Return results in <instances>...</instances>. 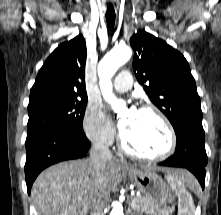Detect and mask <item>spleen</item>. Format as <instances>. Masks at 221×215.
Returning <instances> with one entry per match:
<instances>
[{
	"label": "spleen",
	"mask_w": 221,
	"mask_h": 215,
	"mask_svg": "<svg viewBox=\"0 0 221 215\" xmlns=\"http://www.w3.org/2000/svg\"><path fill=\"white\" fill-rule=\"evenodd\" d=\"M167 180L178 197V215H194V202L186 187L194 189L196 186L195 178L190 173L185 172L180 177L169 175Z\"/></svg>",
	"instance_id": "obj_1"
}]
</instances>
